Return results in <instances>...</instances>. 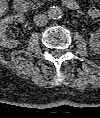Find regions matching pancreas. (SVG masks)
I'll return each instance as SVG.
<instances>
[{
    "mask_svg": "<svg viewBox=\"0 0 100 118\" xmlns=\"http://www.w3.org/2000/svg\"><path fill=\"white\" fill-rule=\"evenodd\" d=\"M43 1H47V0H43ZM41 5H42V3L38 2V3H36V5L34 7L37 8V7L41 6Z\"/></svg>",
    "mask_w": 100,
    "mask_h": 118,
    "instance_id": "cf45deb5",
    "label": "pancreas"
}]
</instances>
